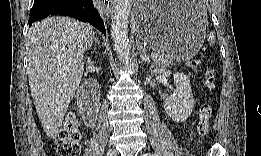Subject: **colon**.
I'll return each instance as SVG.
<instances>
[{
    "label": "colon",
    "instance_id": "1",
    "mask_svg": "<svg viewBox=\"0 0 261 156\" xmlns=\"http://www.w3.org/2000/svg\"><path fill=\"white\" fill-rule=\"evenodd\" d=\"M190 68L203 76V83L207 90L212 91L216 86V75L211 68H203L200 60H193ZM212 116V108L209 104L201 106L199 111V122L197 132L202 137L208 133L209 120ZM81 138V128L78 116L75 112L67 115L56 142L55 148L57 155L77 156L80 153L79 141Z\"/></svg>",
    "mask_w": 261,
    "mask_h": 156
}]
</instances>
